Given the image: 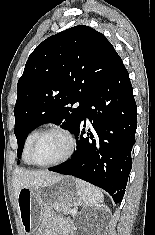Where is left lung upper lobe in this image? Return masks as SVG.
I'll use <instances>...</instances> for the list:
<instances>
[{"label":"left lung upper lobe","mask_w":155,"mask_h":235,"mask_svg":"<svg viewBox=\"0 0 155 235\" xmlns=\"http://www.w3.org/2000/svg\"><path fill=\"white\" fill-rule=\"evenodd\" d=\"M120 59L100 32L78 25L48 37L30 54L17 85L15 135L20 158L35 127L62 123L74 132L85 106ZM79 102L77 108L69 107ZM19 163V162H18Z\"/></svg>","instance_id":"obj_1"}]
</instances>
